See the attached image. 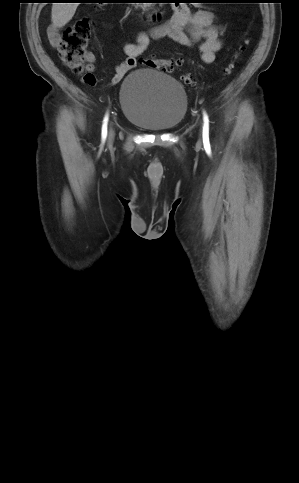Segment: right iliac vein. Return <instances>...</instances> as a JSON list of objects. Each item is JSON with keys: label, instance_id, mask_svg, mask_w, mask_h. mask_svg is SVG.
I'll use <instances>...</instances> for the list:
<instances>
[{"label": "right iliac vein", "instance_id": "obj_1", "mask_svg": "<svg viewBox=\"0 0 299 483\" xmlns=\"http://www.w3.org/2000/svg\"><path fill=\"white\" fill-rule=\"evenodd\" d=\"M109 138H110V141L113 140V138H114V131L113 130L110 131Z\"/></svg>", "mask_w": 299, "mask_h": 483}]
</instances>
